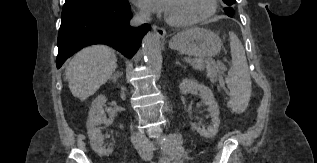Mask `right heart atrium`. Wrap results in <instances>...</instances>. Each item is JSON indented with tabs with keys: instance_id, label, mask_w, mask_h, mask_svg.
Returning a JSON list of instances; mask_svg holds the SVG:
<instances>
[{
	"instance_id": "obj_1",
	"label": "right heart atrium",
	"mask_w": 317,
	"mask_h": 163,
	"mask_svg": "<svg viewBox=\"0 0 317 163\" xmlns=\"http://www.w3.org/2000/svg\"><path fill=\"white\" fill-rule=\"evenodd\" d=\"M139 15H140V17H143V18L147 16V14L145 12H143V11L140 12Z\"/></svg>"
}]
</instances>
